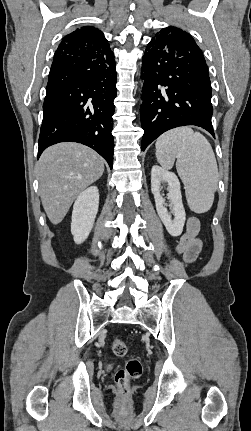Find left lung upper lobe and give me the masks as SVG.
I'll use <instances>...</instances> for the list:
<instances>
[{"mask_svg": "<svg viewBox=\"0 0 251 431\" xmlns=\"http://www.w3.org/2000/svg\"><path fill=\"white\" fill-rule=\"evenodd\" d=\"M159 34L169 35L173 39H183V38L189 36L188 33H186L185 31H183L181 29H178L176 27H167V28H164L159 33H157L156 35H159Z\"/></svg>", "mask_w": 251, "mask_h": 431, "instance_id": "1", "label": "left lung upper lobe"}]
</instances>
